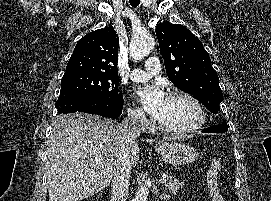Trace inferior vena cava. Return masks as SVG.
Returning a JSON list of instances; mask_svg holds the SVG:
<instances>
[{
	"mask_svg": "<svg viewBox=\"0 0 271 201\" xmlns=\"http://www.w3.org/2000/svg\"><path fill=\"white\" fill-rule=\"evenodd\" d=\"M145 119L143 112H130L119 124V138L123 145H129L140 135L141 123ZM131 166L126 158H122L114 170L111 187V201H126L129 191Z\"/></svg>",
	"mask_w": 271,
	"mask_h": 201,
	"instance_id": "obj_1",
	"label": "inferior vena cava"
}]
</instances>
